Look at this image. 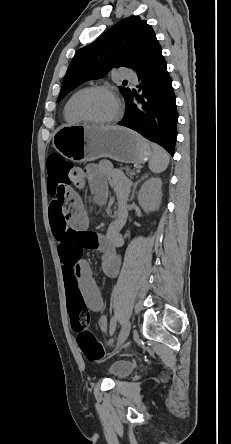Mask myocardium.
<instances>
[{"label":"myocardium","instance_id":"f54148a6","mask_svg":"<svg viewBox=\"0 0 231 444\" xmlns=\"http://www.w3.org/2000/svg\"><path fill=\"white\" fill-rule=\"evenodd\" d=\"M95 91H101V92H105L108 93L109 95H111L117 105V111L115 113V115L107 120H102V121H98V120H94L92 118H90L84 111L83 109V101L84 99L92 92ZM75 113L77 114V116L86 123L89 124H94V125H110V124H114L116 123L123 111V104L122 101L120 99V97L118 96V94L109 86H105V85H93L87 88H84L81 93L78 95L76 101H75Z\"/></svg>","mask_w":231,"mask_h":444}]
</instances>
